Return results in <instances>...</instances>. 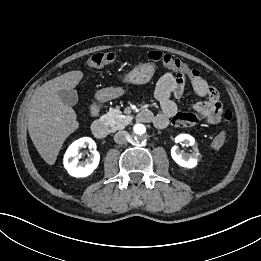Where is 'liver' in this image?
Returning a JSON list of instances; mask_svg holds the SVG:
<instances>
[{"instance_id":"1","label":"liver","mask_w":261,"mask_h":261,"mask_svg":"<svg viewBox=\"0 0 261 261\" xmlns=\"http://www.w3.org/2000/svg\"><path fill=\"white\" fill-rule=\"evenodd\" d=\"M82 78V71L62 74L38 87L29 102V135L49 165L55 163L64 141L79 127L75 111L62 102L58 91L74 89Z\"/></svg>"}]
</instances>
